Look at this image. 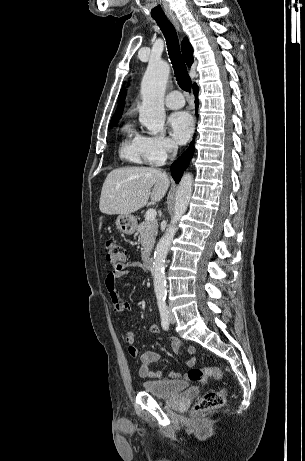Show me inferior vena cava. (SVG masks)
<instances>
[{"instance_id": "inferior-vena-cava-1", "label": "inferior vena cava", "mask_w": 305, "mask_h": 461, "mask_svg": "<svg viewBox=\"0 0 305 461\" xmlns=\"http://www.w3.org/2000/svg\"><path fill=\"white\" fill-rule=\"evenodd\" d=\"M177 149H178V147H177L176 144H170L169 145V150H170V152H173V156H175L177 154Z\"/></svg>"}]
</instances>
